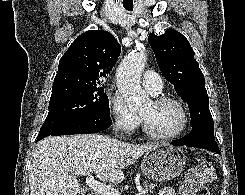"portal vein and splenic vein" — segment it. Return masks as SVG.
<instances>
[{
    "label": "portal vein and splenic vein",
    "mask_w": 245,
    "mask_h": 195,
    "mask_svg": "<svg viewBox=\"0 0 245 195\" xmlns=\"http://www.w3.org/2000/svg\"><path fill=\"white\" fill-rule=\"evenodd\" d=\"M86 184L94 191L98 192L100 195H121L116 189L112 188L111 186L95 180L91 174L86 177ZM144 193L145 191H140L135 195H142Z\"/></svg>",
    "instance_id": "portal-vein-and-splenic-vein-1"
}]
</instances>
